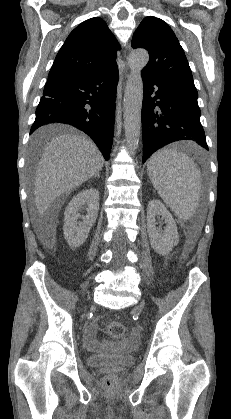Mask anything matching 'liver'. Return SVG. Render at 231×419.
I'll use <instances>...</instances> for the list:
<instances>
[{"label":"liver","instance_id":"6515ba94","mask_svg":"<svg viewBox=\"0 0 231 419\" xmlns=\"http://www.w3.org/2000/svg\"><path fill=\"white\" fill-rule=\"evenodd\" d=\"M48 128L38 129L32 139L39 143ZM104 158L89 139L76 134H63L52 139L39 160L34 180V196L38 213L43 216L60 195L80 186L102 169ZM54 236L51 229L47 236ZM41 236V240H44ZM46 244H54V237Z\"/></svg>","mask_w":231,"mask_h":419}]
</instances>
